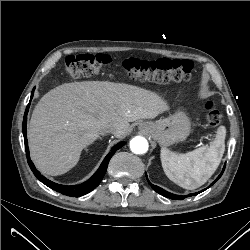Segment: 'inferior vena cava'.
<instances>
[{"label": "inferior vena cava", "instance_id": "602c4592", "mask_svg": "<svg viewBox=\"0 0 250 250\" xmlns=\"http://www.w3.org/2000/svg\"><path fill=\"white\" fill-rule=\"evenodd\" d=\"M118 131V127L111 124L109 125L105 130L104 132H102V134H107V133H112V134H115L116 132Z\"/></svg>", "mask_w": 250, "mask_h": 250}]
</instances>
